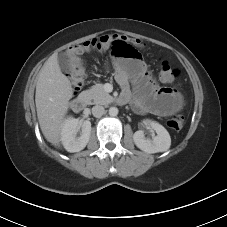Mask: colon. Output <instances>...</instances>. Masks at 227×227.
Returning a JSON list of instances; mask_svg holds the SVG:
<instances>
[{"instance_id":"5ec220e1","label":"colon","mask_w":227,"mask_h":227,"mask_svg":"<svg viewBox=\"0 0 227 227\" xmlns=\"http://www.w3.org/2000/svg\"><path fill=\"white\" fill-rule=\"evenodd\" d=\"M141 46L142 44L138 40L119 34H110L71 46L67 49L66 55L69 60L73 56L81 57L85 52L108 49L111 55L117 59H138L136 48ZM159 77L162 82L177 84L179 71L174 69L167 61L162 60L159 66ZM83 78L84 75L79 79L70 78L71 83L76 90L81 87ZM167 124L171 129L179 131L184 126V117L181 114L174 115L168 120Z\"/></svg>"}]
</instances>
